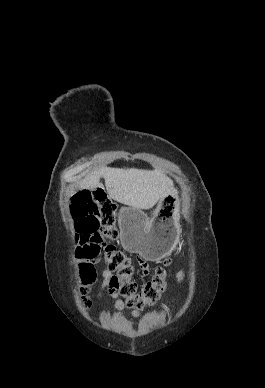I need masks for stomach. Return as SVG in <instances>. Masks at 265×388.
Instances as JSON below:
<instances>
[{"label": "stomach", "instance_id": "0dacf381", "mask_svg": "<svg viewBox=\"0 0 265 388\" xmlns=\"http://www.w3.org/2000/svg\"><path fill=\"white\" fill-rule=\"evenodd\" d=\"M179 199L173 188L159 200L153 218L133 207L119 213L120 241L123 248L144 259L157 261L171 253L180 235Z\"/></svg>", "mask_w": 265, "mask_h": 388}]
</instances>
